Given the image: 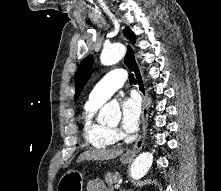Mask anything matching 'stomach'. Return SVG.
Wrapping results in <instances>:
<instances>
[{"instance_id": "0dacf381", "label": "stomach", "mask_w": 221, "mask_h": 191, "mask_svg": "<svg viewBox=\"0 0 221 191\" xmlns=\"http://www.w3.org/2000/svg\"><path fill=\"white\" fill-rule=\"evenodd\" d=\"M121 163L127 164L132 158L122 156ZM84 184L83 174L75 169L68 170L59 180L57 191H82Z\"/></svg>"}]
</instances>
